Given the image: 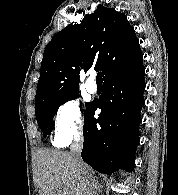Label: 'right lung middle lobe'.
Listing matches in <instances>:
<instances>
[{"mask_svg":"<svg viewBox=\"0 0 178 195\" xmlns=\"http://www.w3.org/2000/svg\"><path fill=\"white\" fill-rule=\"evenodd\" d=\"M76 98H78V93L72 94L65 98L46 101L35 108L36 120L43 132L44 137L50 134L53 129V117L59 106ZM88 106L89 104L86 105L87 108Z\"/></svg>","mask_w":178,"mask_h":195,"instance_id":"1","label":"right lung middle lobe"}]
</instances>
